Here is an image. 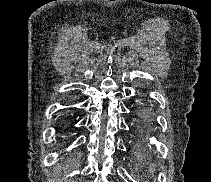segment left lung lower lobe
<instances>
[{
  "mask_svg": "<svg viewBox=\"0 0 211 182\" xmlns=\"http://www.w3.org/2000/svg\"><path fill=\"white\" fill-rule=\"evenodd\" d=\"M143 115L150 120L153 118L152 113L150 111H147V110L144 111Z\"/></svg>",
  "mask_w": 211,
  "mask_h": 182,
  "instance_id": "left-lung-lower-lobe-1",
  "label": "left lung lower lobe"
}]
</instances>
